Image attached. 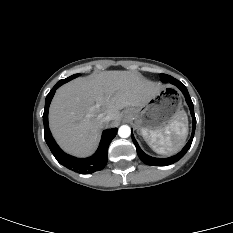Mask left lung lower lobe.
<instances>
[{
  "instance_id": "left-lung-lower-lobe-1",
  "label": "left lung lower lobe",
  "mask_w": 233,
  "mask_h": 233,
  "mask_svg": "<svg viewBox=\"0 0 233 233\" xmlns=\"http://www.w3.org/2000/svg\"><path fill=\"white\" fill-rule=\"evenodd\" d=\"M168 82H170L171 84L178 87L185 96L186 102H187V104H188V106L190 108V112H191V115H192V118H193L192 135H191V138L188 141V143L185 145V147L178 154H176V155H174L172 157H169V158L161 159V158H154V157H151V156L145 154L141 150V148L139 147L137 141L135 140V138H134V136L132 134V140H133L134 145L136 146L137 154H138L139 158L141 159V161L144 162L147 165L167 166V165H170V164H173V163L177 162L178 160H180L186 154V152L189 150V148H190V146L192 144V141H193L195 127H196V118H195V115H194L193 103H192V100H191V98L189 96L188 90L180 81H178L177 79H175L173 77Z\"/></svg>"
}]
</instances>
